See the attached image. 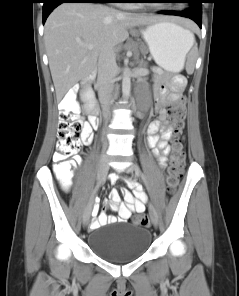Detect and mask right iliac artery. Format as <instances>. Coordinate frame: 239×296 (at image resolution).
Instances as JSON below:
<instances>
[{
	"label": "right iliac artery",
	"instance_id": "obj_1",
	"mask_svg": "<svg viewBox=\"0 0 239 296\" xmlns=\"http://www.w3.org/2000/svg\"><path fill=\"white\" fill-rule=\"evenodd\" d=\"M105 180H106V176H105L101 181H99V183L97 184V186H96L94 192H96V190L99 189L100 185H101L103 182H105ZM91 202H92V197H91V196H88V203H91Z\"/></svg>",
	"mask_w": 239,
	"mask_h": 296
}]
</instances>
